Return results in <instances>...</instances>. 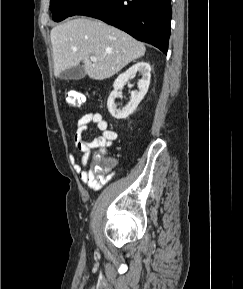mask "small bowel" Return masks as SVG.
I'll use <instances>...</instances> for the list:
<instances>
[{"instance_id": "c3829d8e", "label": "small bowel", "mask_w": 243, "mask_h": 289, "mask_svg": "<svg viewBox=\"0 0 243 289\" xmlns=\"http://www.w3.org/2000/svg\"><path fill=\"white\" fill-rule=\"evenodd\" d=\"M90 123L96 125L99 134L92 140L86 141L83 139V133ZM116 138L117 133L109 128L108 122L99 112H88L76 122V132L74 135L75 151L82 153V157L79 162L76 161L75 157H72L74 169L79 175L81 182L94 191L100 190L109 181L110 175L99 174L93 168L88 167L91 150L98 149L97 154H105Z\"/></svg>"}]
</instances>
